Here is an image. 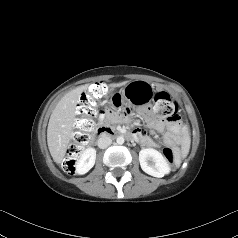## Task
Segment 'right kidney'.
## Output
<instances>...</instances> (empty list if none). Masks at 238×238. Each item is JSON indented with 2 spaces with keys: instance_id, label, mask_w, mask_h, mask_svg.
<instances>
[{
  "instance_id": "1",
  "label": "right kidney",
  "mask_w": 238,
  "mask_h": 238,
  "mask_svg": "<svg viewBox=\"0 0 238 238\" xmlns=\"http://www.w3.org/2000/svg\"><path fill=\"white\" fill-rule=\"evenodd\" d=\"M96 160V150L94 148H87L80 156L76 164V173L85 174L87 173L95 164Z\"/></svg>"
}]
</instances>
